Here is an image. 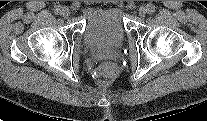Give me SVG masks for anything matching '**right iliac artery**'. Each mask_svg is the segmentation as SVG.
<instances>
[{
  "label": "right iliac artery",
  "mask_w": 207,
  "mask_h": 121,
  "mask_svg": "<svg viewBox=\"0 0 207 121\" xmlns=\"http://www.w3.org/2000/svg\"><path fill=\"white\" fill-rule=\"evenodd\" d=\"M61 12H62V6H60V5L55 6L54 13L57 14V15H60Z\"/></svg>",
  "instance_id": "82829eb1"
}]
</instances>
